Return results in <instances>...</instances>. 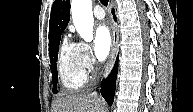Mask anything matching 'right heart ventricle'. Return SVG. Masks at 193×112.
<instances>
[{
    "mask_svg": "<svg viewBox=\"0 0 193 112\" xmlns=\"http://www.w3.org/2000/svg\"><path fill=\"white\" fill-rule=\"evenodd\" d=\"M58 76L61 85L69 91L81 89L87 80L86 71L83 68L76 44L64 39L58 54Z\"/></svg>",
    "mask_w": 193,
    "mask_h": 112,
    "instance_id": "1",
    "label": "right heart ventricle"
}]
</instances>
